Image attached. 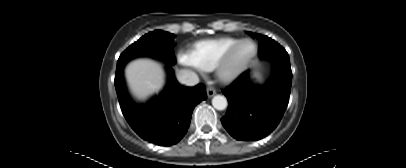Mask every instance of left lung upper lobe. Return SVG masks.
<instances>
[{"label": "left lung upper lobe", "mask_w": 406, "mask_h": 168, "mask_svg": "<svg viewBox=\"0 0 406 168\" xmlns=\"http://www.w3.org/2000/svg\"><path fill=\"white\" fill-rule=\"evenodd\" d=\"M252 37H256L259 42V56L261 58H268L273 62L285 61L289 62V55L286 50L280 46L276 41L268 38L267 36L261 37L258 34L248 33Z\"/></svg>", "instance_id": "1"}]
</instances>
